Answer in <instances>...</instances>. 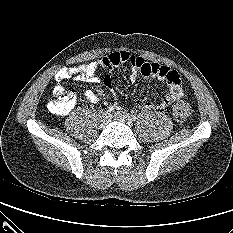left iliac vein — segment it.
<instances>
[{
	"mask_svg": "<svg viewBox=\"0 0 233 233\" xmlns=\"http://www.w3.org/2000/svg\"><path fill=\"white\" fill-rule=\"evenodd\" d=\"M111 117L115 121L122 122L128 126H132V120L130 119V116L125 112L117 111Z\"/></svg>",
	"mask_w": 233,
	"mask_h": 233,
	"instance_id": "obj_1",
	"label": "left iliac vein"
}]
</instances>
